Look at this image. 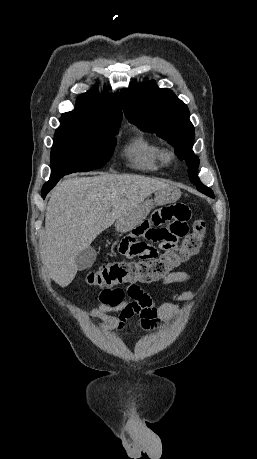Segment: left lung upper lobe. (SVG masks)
Segmentation results:
<instances>
[{
  "label": "left lung upper lobe",
  "mask_w": 257,
  "mask_h": 459,
  "mask_svg": "<svg viewBox=\"0 0 257 459\" xmlns=\"http://www.w3.org/2000/svg\"><path fill=\"white\" fill-rule=\"evenodd\" d=\"M121 101L128 121L167 140L178 158L186 160L189 178L197 190L214 198L212 190L198 178L199 159L192 151L195 134L188 107L169 89L158 88L155 81L122 90Z\"/></svg>",
  "instance_id": "1"
}]
</instances>
